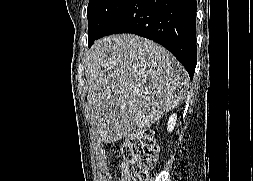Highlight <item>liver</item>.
Returning <instances> with one entry per match:
<instances>
[{
    "instance_id": "obj_1",
    "label": "liver",
    "mask_w": 253,
    "mask_h": 181,
    "mask_svg": "<svg viewBox=\"0 0 253 181\" xmlns=\"http://www.w3.org/2000/svg\"><path fill=\"white\" fill-rule=\"evenodd\" d=\"M84 67L89 117L107 143L151 127L181 102L188 83L169 51L132 34L96 41Z\"/></svg>"
}]
</instances>
